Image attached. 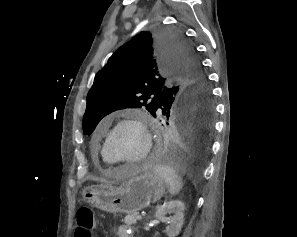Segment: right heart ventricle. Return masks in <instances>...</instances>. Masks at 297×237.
Instances as JSON below:
<instances>
[{"instance_id": "right-heart-ventricle-1", "label": "right heart ventricle", "mask_w": 297, "mask_h": 237, "mask_svg": "<svg viewBox=\"0 0 297 237\" xmlns=\"http://www.w3.org/2000/svg\"><path fill=\"white\" fill-rule=\"evenodd\" d=\"M101 157H102L103 162H104L106 165H108V166H113V165L115 164L114 162H112V161L109 159V157H108L107 154L105 153L103 147H102V149H101Z\"/></svg>"}]
</instances>
